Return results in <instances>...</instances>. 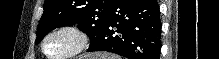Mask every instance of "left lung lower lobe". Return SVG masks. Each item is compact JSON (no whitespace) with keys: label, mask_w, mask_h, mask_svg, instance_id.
Returning a JSON list of instances; mask_svg holds the SVG:
<instances>
[{"label":"left lung lower lobe","mask_w":219,"mask_h":59,"mask_svg":"<svg viewBox=\"0 0 219 59\" xmlns=\"http://www.w3.org/2000/svg\"><path fill=\"white\" fill-rule=\"evenodd\" d=\"M161 21L156 0H114L98 39L87 52L108 51L128 59H159Z\"/></svg>","instance_id":"obj_1"}]
</instances>
